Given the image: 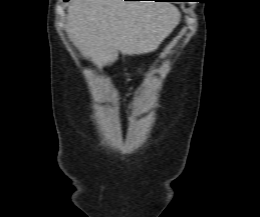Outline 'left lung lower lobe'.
Listing matches in <instances>:
<instances>
[{"instance_id": "1", "label": "left lung lower lobe", "mask_w": 260, "mask_h": 217, "mask_svg": "<svg viewBox=\"0 0 260 217\" xmlns=\"http://www.w3.org/2000/svg\"><path fill=\"white\" fill-rule=\"evenodd\" d=\"M157 1H169V0H157Z\"/></svg>"}]
</instances>
